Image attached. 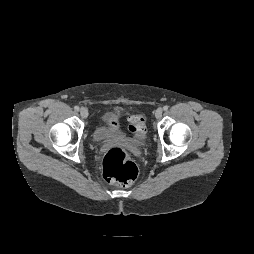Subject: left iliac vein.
<instances>
[{"label": "left iliac vein", "mask_w": 254, "mask_h": 254, "mask_svg": "<svg viewBox=\"0 0 254 254\" xmlns=\"http://www.w3.org/2000/svg\"><path fill=\"white\" fill-rule=\"evenodd\" d=\"M162 113H163V110H162L161 108H158V109L156 110V112H155V117H156L157 119L161 118Z\"/></svg>", "instance_id": "obj_1"}]
</instances>
